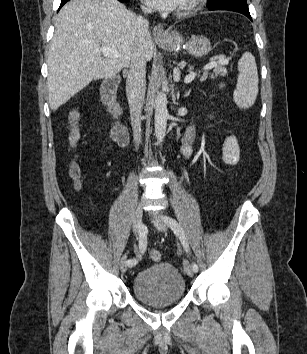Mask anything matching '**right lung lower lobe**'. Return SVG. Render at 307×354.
Wrapping results in <instances>:
<instances>
[{"label":"right lung lower lobe","instance_id":"98d812e1","mask_svg":"<svg viewBox=\"0 0 307 354\" xmlns=\"http://www.w3.org/2000/svg\"><path fill=\"white\" fill-rule=\"evenodd\" d=\"M69 0H61V5H60V8ZM120 2H125L127 0H119Z\"/></svg>","mask_w":307,"mask_h":354}]
</instances>
